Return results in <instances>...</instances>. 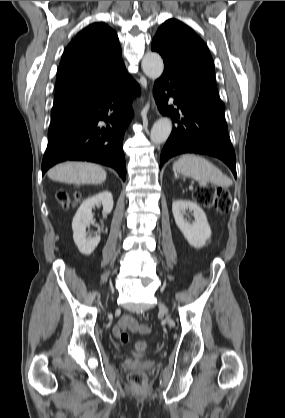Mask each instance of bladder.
<instances>
[{
  "label": "bladder",
  "instance_id": "bladder-1",
  "mask_svg": "<svg viewBox=\"0 0 285 418\" xmlns=\"http://www.w3.org/2000/svg\"><path fill=\"white\" fill-rule=\"evenodd\" d=\"M134 357H135V358H141V357H142V355H141V354H135V355H134Z\"/></svg>",
  "mask_w": 285,
  "mask_h": 418
}]
</instances>
